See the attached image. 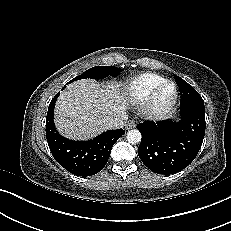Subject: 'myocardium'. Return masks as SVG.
Instances as JSON below:
<instances>
[{
  "label": "myocardium",
  "mask_w": 231,
  "mask_h": 231,
  "mask_svg": "<svg viewBox=\"0 0 231 231\" xmlns=\"http://www.w3.org/2000/svg\"><path fill=\"white\" fill-rule=\"evenodd\" d=\"M172 87V95L169 100L163 104L156 102L157 96L165 86ZM178 100L177 85L171 80H164L158 84L143 101L140 107L141 114L150 121H159L166 119L173 111Z\"/></svg>",
  "instance_id": "myocardium-1"
}]
</instances>
